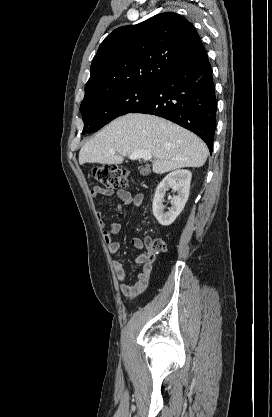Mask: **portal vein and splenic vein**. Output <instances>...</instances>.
I'll return each mask as SVG.
<instances>
[{"instance_id":"18ae733b","label":"portal vein and splenic vein","mask_w":272,"mask_h":417,"mask_svg":"<svg viewBox=\"0 0 272 417\" xmlns=\"http://www.w3.org/2000/svg\"><path fill=\"white\" fill-rule=\"evenodd\" d=\"M109 152L111 154H115V150H113V149H111ZM129 158L132 159V160H136V159H140V158H142L144 160H151L152 155L149 151L139 150V151H136V152L132 153L129 156Z\"/></svg>"}]
</instances>
